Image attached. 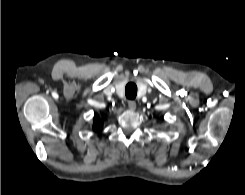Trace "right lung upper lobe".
<instances>
[{"mask_svg":"<svg viewBox=\"0 0 245 195\" xmlns=\"http://www.w3.org/2000/svg\"><path fill=\"white\" fill-rule=\"evenodd\" d=\"M102 126H103L102 121L98 117H95L94 124H93L94 131H100L102 129Z\"/></svg>","mask_w":245,"mask_h":195,"instance_id":"obj_1","label":"right lung upper lobe"}]
</instances>
